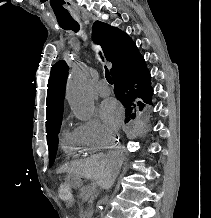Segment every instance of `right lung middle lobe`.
<instances>
[{
	"instance_id": "right-lung-middle-lobe-1",
	"label": "right lung middle lobe",
	"mask_w": 211,
	"mask_h": 218,
	"mask_svg": "<svg viewBox=\"0 0 211 218\" xmlns=\"http://www.w3.org/2000/svg\"><path fill=\"white\" fill-rule=\"evenodd\" d=\"M118 99L125 107L126 122H128L130 119H134L136 117L135 113H131V111L136 107V105L139 106L140 111H142L143 108H145L147 105H152V104H145V103L137 100L134 97H124V98H118ZM61 121H62V118L56 122V124L52 128L51 132L47 135L50 167L53 165L55 157H56V152H57V148H58V133L60 130Z\"/></svg>"
}]
</instances>
